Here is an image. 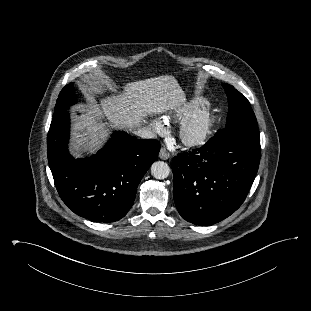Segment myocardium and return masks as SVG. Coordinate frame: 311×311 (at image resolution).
Wrapping results in <instances>:
<instances>
[{
  "label": "myocardium",
  "instance_id": "myocardium-1",
  "mask_svg": "<svg viewBox=\"0 0 311 311\" xmlns=\"http://www.w3.org/2000/svg\"><path fill=\"white\" fill-rule=\"evenodd\" d=\"M213 124V112L210 109L200 110L182 121L179 138L188 147H200L208 140Z\"/></svg>",
  "mask_w": 311,
  "mask_h": 311
}]
</instances>
